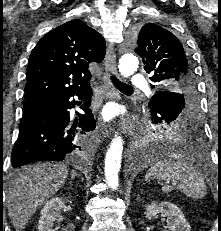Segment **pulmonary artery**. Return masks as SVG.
<instances>
[{
	"instance_id": "obj_1",
	"label": "pulmonary artery",
	"mask_w": 221,
	"mask_h": 231,
	"mask_svg": "<svg viewBox=\"0 0 221 231\" xmlns=\"http://www.w3.org/2000/svg\"><path fill=\"white\" fill-rule=\"evenodd\" d=\"M131 86L132 87H142L146 88L147 87V80L145 77L136 75L132 80H131Z\"/></svg>"
}]
</instances>
